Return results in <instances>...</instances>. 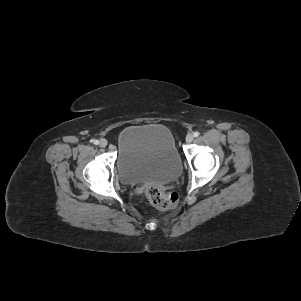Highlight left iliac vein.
Listing matches in <instances>:
<instances>
[{
	"mask_svg": "<svg viewBox=\"0 0 301 301\" xmlns=\"http://www.w3.org/2000/svg\"><path fill=\"white\" fill-rule=\"evenodd\" d=\"M194 139V135L192 133L187 134L186 136V142L191 143Z\"/></svg>",
	"mask_w": 301,
	"mask_h": 301,
	"instance_id": "obj_1",
	"label": "left iliac vein"
}]
</instances>
